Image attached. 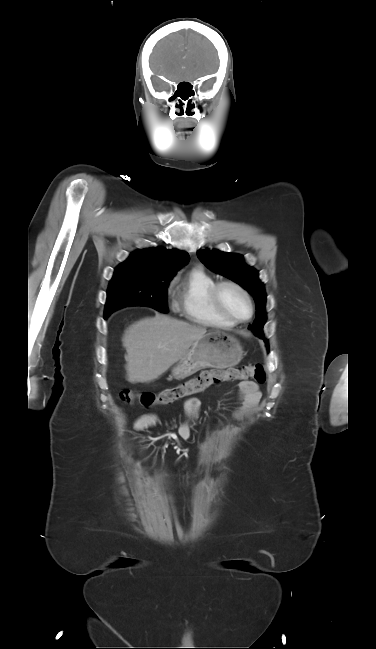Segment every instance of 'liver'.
<instances>
[{
    "instance_id": "1",
    "label": "liver",
    "mask_w": 376,
    "mask_h": 649,
    "mask_svg": "<svg viewBox=\"0 0 376 649\" xmlns=\"http://www.w3.org/2000/svg\"><path fill=\"white\" fill-rule=\"evenodd\" d=\"M207 329L156 314L129 326L122 342L126 348L127 381L149 383L188 352Z\"/></svg>"
}]
</instances>
